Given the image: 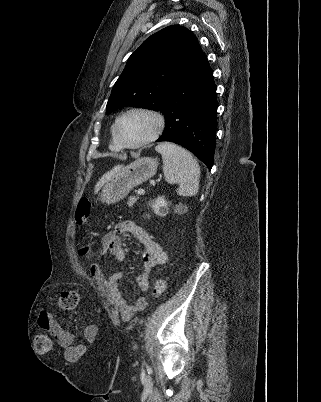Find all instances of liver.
Listing matches in <instances>:
<instances>
[{
	"label": "liver",
	"instance_id": "6515ba94",
	"mask_svg": "<svg viewBox=\"0 0 321 402\" xmlns=\"http://www.w3.org/2000/svg\"><path fill=\"white\" fill-rule=\"evenodd\" d=\"M122 167H123V165H117L112 170H110L109 172L104 174L103 177H101L99 182L96 184L95 192H98V190L102 187V185L105 183V181L107 179H109L112 175H114L116 172H118Z\"/></svg>",
	"mask_w": 321,
	"mask_h": 402
}]
</instances>
